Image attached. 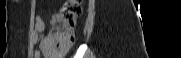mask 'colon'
Here are the masks:
<instances>
[{
    "label": "colon",
    "instance_id": "5ec220e1",
    "mask_svg": "<svg viewBox=\"0 0 181 58\" xmlns=\"http://www.w3.org/2000/svg\"><path fill=\"white\" fill-rule=\"evenodd\" d=\"M81 13L80 0H68L52 17V32L47 37V49L65 54L75 43V26Z\"/></svg>",
    "mask_w": 181,
    "mask_h": 58
}]
</instances>
